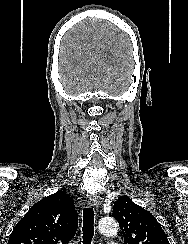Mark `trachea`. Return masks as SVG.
I'll return each mask as SVG.
<instances>
[{
	"label": "trachea",
	"instance_id": "obj_1",
	"mask_svg": "<svg viewBox=\"0 0 188 244\" xmlns=\"http://www.w3.org/2000/svg\"><path fill=\"white\" fill-rule=\"evenodd\" d=\"M83 244H90L94 236V211L93 207L83 210Z\"/></svg>",
	"mask_w": 188,
	"mask_h": 244
}]
</instances>
